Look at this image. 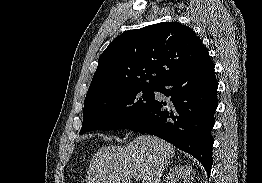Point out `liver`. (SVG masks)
I'll use <instances>...</instances> for the list:
<instances>
[{
    "label": "liver",
    "mask_w": 262,
    "mask_h": 183,
    "mask_svg": "<svg viewBox=\"0 0 262 183\" xmlns=\"http://www.w3.org/2000/svg\"><path fill=\"white\" fill-rule=\"evenodd\" d=\"M174 147L155 136L141 135L126 146H104L93 156L87 183H132L139 175L142 183H160Z\"/></svg>",
    "instance_id": "1"
}]
</instances>
